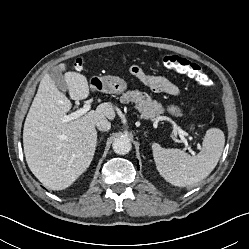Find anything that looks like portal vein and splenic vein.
I'll return each mask as SVG.
<instances>
[{
  "label": "portal vein and splenic vein",
  "mask_w": 249,
  "mask_h": 249,
  "mask_svg": "<svg viewBox=\"0 0 249 249\" xmlns=\"http://www.w3.org/2000/svg\"><path fill=\"white\" fill-rule=\"evenodd\" d=\"M91 109V104H85L82 108L77 109L76 111L72 112L69 115H65L61 118L62 122H70L72 120H75L79 117H81L82 115L86 114L87 111H89ZM178 133L181 136V141L185 144V148L189 150V152L194 155L195 152L188 146V142L187 140L184 138V136L189 137L190 140L193 139L192 136H190L187 132H185L184 130H182L180 127H178Z\"/></svg>",
  "instance_id": "obj_1"
}]
</instances>
